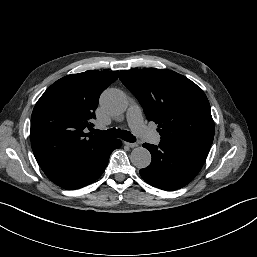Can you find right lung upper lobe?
Segmentation results:
<instances>
[{
    "mask_svg": "<svg viewBox=\"0 0 257 257\" xmlns=\"http://www.w3.org/2000/svg\"><path fill=\"white\" fill-rule=\"evenodd\" d=\"M118 78V71H86L67 75L40 97L31 116L35 158L48 171L76 160L109 139L85 133L92 128L99 96Z\"/></svg>",
    "mask_w": 257,
    "mask_h": 257,
    "instance_id": "cb5924a9",
    "label": "right lung upper lobe"
}]
</instances>
